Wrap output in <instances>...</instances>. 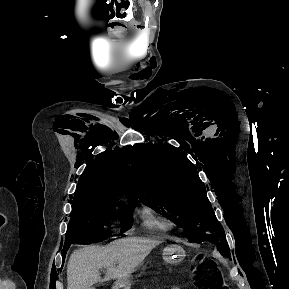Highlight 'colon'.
Wrapping results in <instances>:
<instances>
[{"mask_svg": "<svg viewBox=\"0 0 289 289\" xmlns=\"http://www.w3.org/2000/svg\"><path fill=\"white\" fill-rule=\"evenodd\" d=\"M193 283L198 289H225V283L218 276L214 266L203 262L193 270Z\"/></svg>", "mask_w": 289, "mask_h": 289, "instance_id": "colon-1", "label": "colon"}]
</instances>
